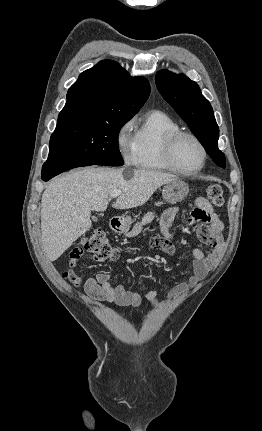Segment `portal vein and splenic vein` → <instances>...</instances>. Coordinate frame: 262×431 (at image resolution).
Here are the masks:
<instances>
[{
  "mask_svg": "<svg viewBox=\"0 0 262 431\" xmlns=\"http://www.w3.org/2000/svg\"><path fill=\"white\" fill-rule=\"evenodd\" d=\"M121 194H122V191H121V190H114V191L110 194V197H111V198H115V197L120 196Z\"/></svg>",
  "mask_w": 262,
  "mask_h": 431,
  "instance_id": "portal-vein-and-splenic-vein-1",
  "label": "portal vein and splenic vein"
}]
</instances>
